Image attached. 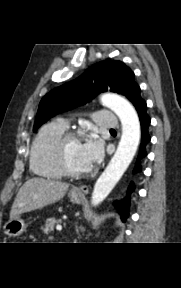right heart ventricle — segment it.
<instances>
[{
  "instance_id": "e07e8e85",
  "label": "right heart ventricle",
  "mask_w": 181,
  "mask_h": 288,
  "mask_svg": "<svg viewBox=\"0 0 181 288\" xmlns=\"http://www.w3.org/2000/svg\"><path fill=\"white\" fill-rule=\"evenodd\" d=\"M61 122H50L41 127L33 140L29 164L31 171L44 179H60L63 174L55 160V145L65 133Z\"/></svg>"
}]
</instances>
